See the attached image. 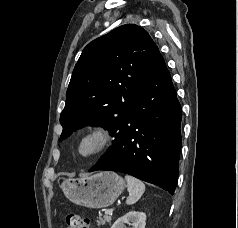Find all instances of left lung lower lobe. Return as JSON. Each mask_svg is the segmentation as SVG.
Here are the masks:
<instances>
[{"label":"left lung lower lobe","mask_w":238,"mask_h":228,"mask_svg":"<svg viewBox=\"0 0 238 228\" xmlns=\"http://www.w3.org/2000/svg\"><path fill=\"white\" fill-rule=\"evenodd\" d=\"M181 113L170 73L159 52L121 124L111 157L89 172H123L173 195L182 144Z\"/></svg>","instance_id":"obj_1"}]
</instances>
